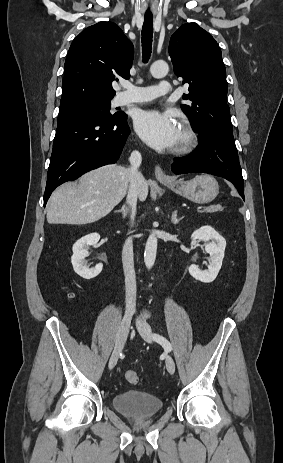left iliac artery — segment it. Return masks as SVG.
<instances>
[{
  "label": "left iliac artery",
  "instance_id": "left-iliac-artery-1",
  "mask_svg": "<svg viewBox=\"0 0 283 463\" xmlns=\"http://www.w3.org/2000/svg\"><path fill=\"white\" fill-rule=\"evenodd\" d=\"M152 337L156 342H158L160 345H162L165 350H167V351L172 350V346H171L170 342L165 337H163V336H161L159 334H153Z\"/></svg>",
  "mask_w": 283,
  "mask_h": 463
}]
</instances>
